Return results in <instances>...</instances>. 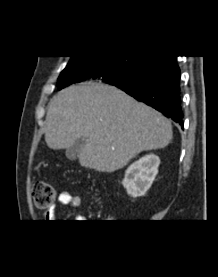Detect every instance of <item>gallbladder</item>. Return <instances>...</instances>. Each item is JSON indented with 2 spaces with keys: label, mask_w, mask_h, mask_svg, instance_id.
<instances>
[{
  "label": "gallbladder",
  "mask_w": 218,
  "mask_h": 277,
  "mask_svg": "<svg viewBox=\"0 0 218 277\" xmlns=\"http://www.w3.org/2000/svg\"><path fill=\"white\" fill-rule=\"evenodd\" d=\"M84 145L85 139L83 137L76 139L74 144L66 150V157L69 160H76Z\"/></svg>",
  "instance_id": "bac80fb5"
}]
</instances>
